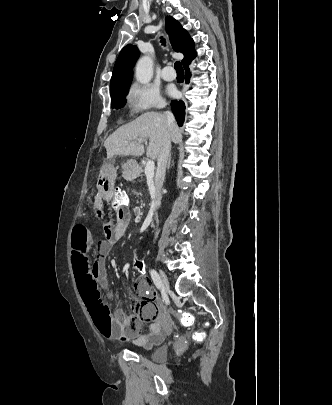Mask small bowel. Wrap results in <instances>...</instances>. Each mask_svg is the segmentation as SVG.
I'll return each instance as SVG.
<instances>
[{
    "label": "small bowel",
    "instance_id": "c3829d8e",
    "mask_svg": "<svg viewBox=\"0 0 332 405\" xmlns=\"http://www.w3.org/2000/svg\"><path fill=\"white\" fill-rule=\"evenodd\" d=\"M125 170H138L135 160H127ZM98 183L96 184V197L94 200V213L102 218V208L105 203H112L113 173L118 171L116 164H101ZM115 223H106L104 226L105 239L98 244V256L95 262L90 260V252L94 239L87 227L75 225L70 239L71 266L78 289L79 301L86 305L87 315L92 326L106 339L117 342H130L135 346L152 349L154 344H162L161 329L165 321V307L155 298L154 291L144 278L138 279L134 285V312L127 314L121 310L111 311V302L103 301L101 289L107 288L105 258L112 246L123 236L125 228L131 221V211L125 208L124 212H114ZM112 260L111 264L114 265ZM146 266V265H145ZM140 272V270H137ZM141 273V272H140ZM146 322L149 326L142 333Z\"/></svg>",
    "mask_w": 332,
    "mask_h": 405
}]
</instances>
